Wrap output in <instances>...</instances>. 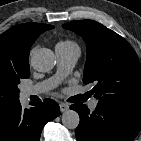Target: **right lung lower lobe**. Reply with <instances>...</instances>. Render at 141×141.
I'll return each mask as SVG.
<instances>
[{"instance_id": "98d812e1", "label": "right lung lower lobe", "mask_w": 141, "mask_h": 141, "mask_svg": "<svg viewBox=\"0 0 141 141\" xmlns=\"http://www.w3.org/2000/svg\"><path fill=\"white\" fill-rule=\"evenodd\" d=\"M32 105L22 109L17 101L0 109V141H40L44 125L58 116L60 108L51 99Z\"/></svg>"}]
</instances>
